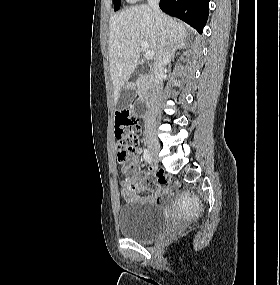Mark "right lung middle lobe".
I'll list each match as a JSON object with an SVG mask.
<instances>
[{
	"label": "right lung middle lobe",
	"mask_w": 280,
	"mask_h": 285,
	"mask_svg": "<svg viewBox=\"0 0 280 285\" xmlns=\"http://www.w3.org/2000/svg\"><path fill=\"white\" fill-rule=\"evenodd\" d=\"M120 8V0H114V9L117 11Z\"/></svg>",
	"instance_id": "dd1d6c3e"
}]
</instances>
